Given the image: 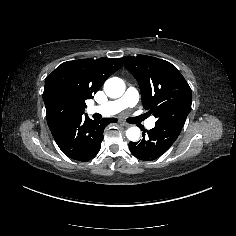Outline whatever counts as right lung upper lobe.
I'll use <instances>...</instances> for the list:
<instances>
[{
  "label": "right lung upper lobe",
  "mask_w": 236,
  "mask_h": 236,
  "mask_svg": "<svg viewBox=\"0 0 236 236\" xmlns=\"http://www.w3.org/2000/svg\"><path fill=\"white\" fill-rule=\"evenodd\" d=\"M123 64L120 59H82L64 62L45 79L46 108L55 105L71 117L84 113L85 101L92 99L105 80ZM70 117V118H71Z\"/></svg>",
  "instance_id": "right-lung-upper-lobe-1"
}]
</instances>
